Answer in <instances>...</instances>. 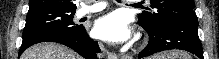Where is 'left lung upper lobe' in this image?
Masks as SVG:
<instances>
[{"label":"left lung upper lobe","instance_id":"5c2ea615","mask_svg":"<svg viewBox=\"0 0 219 59\" xmlns=\"http://www.w3.org/2000/svg\"><path fill=\"white\" fill-rule=\"evenodd\" d=\"M154 12H142L138 15V23L157 29L168 25L177 18L194 12V0H150Z\"/></svg>","mask_w":219,"mask_h":59}]
</instances>
